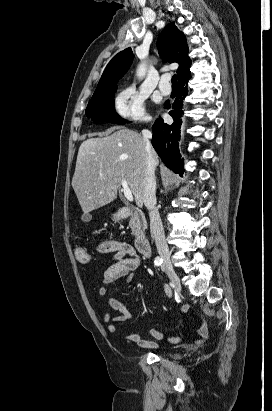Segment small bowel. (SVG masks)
<instances>
[{
	"instance_id": "1",
	"label": "small bowel",
	"mask_w": 272,
	"mask_h": 411,
	"mask_svg": "<svg viewBox=\"0 0 272 411\" xmlns=\"http://www.w3.org/2000/svg\"><path fill=\"white\" fill-rule=\"evenodd\" d=\"M98 251L102 254L112 253L114 256L113 263L105 270L103 275V281L98 288V294L102 297L108 293V285L118 281L129 283L136 277L135 272L141 264V259L137 254L135 248L127 243L116 240H106L98 245ZM166 294L170 297V289L165 287ZM109 307L117 312L119 315L114 316L110 311H106L103 315V320L107 324V328L110 334L120 337L123 340L136 343L139 347L157 349L158 344L152 340L144 339L138 333H132L127 335H121L116 326L117 322H128L133 319V315L127 309V307L114 297H109L107 300ZM190 306L186 305L184 311H187ZM148 334L150 337L163 340L165 335L156 329H149ZM200 338L194 342L193 346H197L203 343L208 337L207 321L201 317V326L199 329ZM171 343H178L182 340V337L168 338Z\"/></svg>"
}]
</instances>
